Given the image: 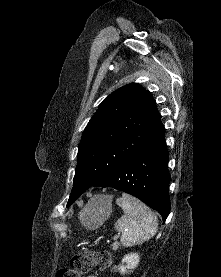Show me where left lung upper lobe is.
<instances>
[{
  "label": "left lung upper lobe",
  "instance_id": "1",
  "mask_svg": "<svg viewBox=\"0 0 221 277\" xmlns=\"http://www.w3.org/2000/svg\"><path fill=\"white\" fill-rule=\"evenodd\" d=\"M151 93L138 83L107 96L87 124L68 203L107 176L162 128Z\"/></svg>",
  "mask_w": 221,
  "mask_h": 277
}]
</instances>
